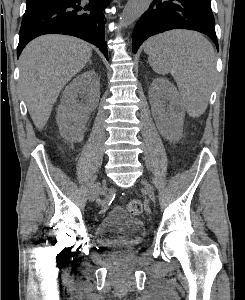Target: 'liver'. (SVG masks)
<instances>
[{"instance_id":"liver-1","label":"liver","mask_w":245,"mask_h":300,"mask_svg":"<svg viewBox=\"0 0 245 300\" xmlns=\"http://www.w3.org/2000/svg\"><path fill=\"white\" fill-rule=\"evenodd\" d=\"M92 56L91 46L75 37L43 35L23 50L20 88L38 130L46 125L57 97Z\"/></svg>"}]
</instances>
